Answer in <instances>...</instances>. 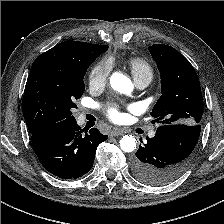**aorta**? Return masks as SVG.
Wrapping results in <instances>:
<instances>
[{
	"label": "aorta",
	"mask_w": 224,
	"mask_h": 224,
	"mask_svg": "<svg viewBox=\"0 0 224 224\" xmlns=\"http://www.w3.org/2000/svg\"><path fill=\"white\" fill-rule=\"evenodd\" d=\"M111 87L123 94H130L133 90L131 80L120 72H115L110 77ZM137 141L132 135H125L120 140V147L124 152H133L136 149Z\"/></svg>",
	"instance_id": "obj_1"
}]
</instances>
